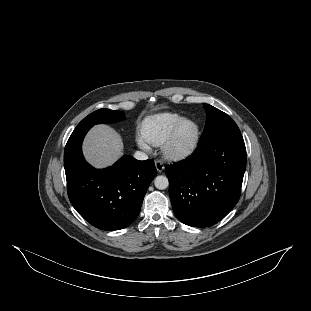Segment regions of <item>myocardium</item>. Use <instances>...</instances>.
<instances>
[{"mask_svg":"<svg viewBox=\"0 0 311 311\" xmlns=\"http://www.w3.org/2000/svg\"><path fill=\"white\" fill-rule=\"evenodd\" d=\"M186 124H193L195 127V134L191 143L184 148L177 144V139L181 128ZM201 138V127L196 120L184 119L180 121L172 130L169 137L162 144V154L165 158L171 161L185 160L192 156L198 148Z\"/></svg>","mask_w":311,"mask_h":311,"instance_id":"obj_1","label":"myocardium"}]
</instances>
